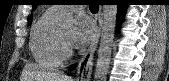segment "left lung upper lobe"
<instances>
[{
    "label": "left lung upper lobe",
    "mask_w": 169,
    "mask_h": 81,
    "mask_svg": "<svg viewBox=\"0 0 169 81\" xmlns=\"http://www.w3.org/2000/svg\"><path fill=\"white\" fill-rule=\"evenodd\" d=\"M39 1L40 0H35L34 2H35V4L33 5L34 7H36L38 4L37 3H39Z\"/></svg>",
    "instance_id": "left-lung-upper-lobe-1"
}]
</instances>
